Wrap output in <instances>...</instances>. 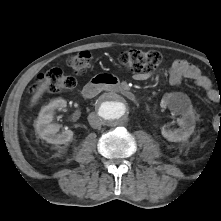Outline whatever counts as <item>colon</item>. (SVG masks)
Here are the masks:
<instances>
[{"instance_id": "obj_1", "label": "colon", "mask_w": 221, "mask_h": 221, "mask_svg": "<svg viewBox=\"0 0 221 221\" xmlns=\"http://www.w3.org/2000/svg\"><path fill=\"white\" fill-rule=\"evenodd\" d=\"M91 61V53L81 51L68 58L67 66L75 75H83L90 68ZM119 61L122 66L131 72L151 74L165 62V57L157 51L133 49L122 52ZM42 86L51 92H64L73 89L76 86V80L73 76L63 73L61 69L55 68L40 75L30 87V91H35Z\"/></svg>"}]
</instances>
